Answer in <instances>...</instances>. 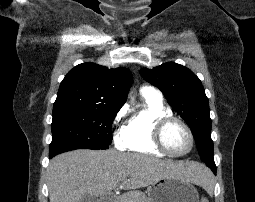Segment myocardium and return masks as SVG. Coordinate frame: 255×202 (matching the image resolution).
Returning a JSON list of instances; mask_svg holds the SVG:
<instances>
[{
  "label": "myocardium",
  "mask_w": 255,
  "mask_h": 202,
  "mask_svg": "<svg viewBox=\"0 0 255 202\" xmlns=\"http://www.w3.org/2000/svg\"><path fill=\"white\" fill-rule=\"evenodd\" d=\"M174 123L180 124L186 130L189 136L190 146L188 150H186L185 152H181V153L174 152L170 150L165 143V140H164L165 131L171 124H174ZM153 141L159 150H161L166 155H170L174 157H181V156L187 155L188 153L192 151L195 144V138L189 125L182 119L174 117V116H166L159 119L156 122L153 129Z\"/></svg>",
  "instance_id": "f54148a6"
}]
</instances>
